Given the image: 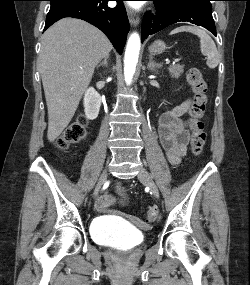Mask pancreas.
I'll return each instance as SVG.
<instances>
[{
    "mask_svg": "<svg viewBox=\"0 0 250 285\" xmlns=\"http://www.w3.org/2000/svg\"><path fill=\"white\" fill-rule=\"evenodd\" d=\"M168 70L172 78L178 79L184 71V66L179 64L170 65Z\"/></svg>",
    "mask_w": 250,
    "mask_h": 285,
    "instance_id": "obj_1",
    "label": "pancreas"
}]
</instances>
